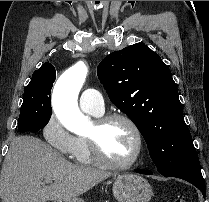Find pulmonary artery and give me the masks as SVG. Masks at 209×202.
I'll list each match as a JSON object with an SVG mask.
<instances>
[{
    "instance_id": "e3ab8cb5",
    "label": "pulmonary artery",
    "mask_w": 209,
    "mask_h": 202,
    "mask_svg": "<svg viewBox=\"0 0 209 202\" xmlns=\"http://www.w3.org/2000/svg\"><path fill=\"white\" fill-rule=\"evenodd\" d=\"M79 106L83 111L101 115L105 107L100 90L93 87L85 88L79 97Z\"/></svg>"
}]
</instances>
